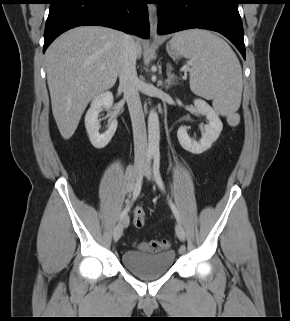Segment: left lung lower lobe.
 I'll use <instances>...</instances> for the list:
<instances>
[{
    "mask_svg": "<svg viewBox=\"0 0 290 321\" xmlns=\"http://www.w3.org/2000/svg\"><path fill=\"white\" fill-rule=\"evenodd\" d=\"M158 4L159 35L192 28L213 30L227 37L245 59L240 0H160Z\"/></svg>",
    "mask_w": 290,
    "mask_h": 321,
    "instance_id": "1",
    "label": "left lung lower lobe"
}]
</instances>
